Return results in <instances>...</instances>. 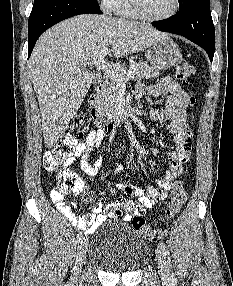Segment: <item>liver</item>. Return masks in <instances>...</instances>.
I'll use <instances>...</instances> for the list:
<instances>
[{
    "mask_svg": "<svg viewBox=\"0 0 233 286\" xmlns=\"http://www.w3.org/2000/svg\"><path fill=\"white\" fill-rule=\"evenodd\" d=\"M168 37L150 26L107 15L83 14L48 29L37 41L28 73L37 94L44 143L54 146L80 108L94 75L86 69L109 45L115 57Z\"/></svg>",
    "mask_w": 233,
    "mask_h": 286,
    "instance_id": "6515ba94",
    "label": "liver"
}]
</instances>
